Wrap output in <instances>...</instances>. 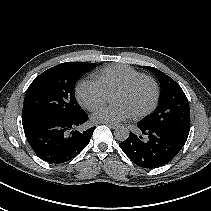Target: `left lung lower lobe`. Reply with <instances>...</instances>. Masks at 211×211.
<instances>
[{"instance_id": "left-lung-lower-lobe-1", "label": "left lung lower lobe", "mask_w": 211, "mask_h": 211, "mask_svg": "<svg viewBox=\"0 0 211 211\" xmlns=\"http://www.w3.org/2000/svg\"><path fill=\"white\" fill-rule=\"evenodd\" d=\"M137 127L146 137L130 132L129 137L119 146L131 161L143 168H157L169 163L186 142L165 129L142 123H138Z\"/></svg>"}]
</instances>
